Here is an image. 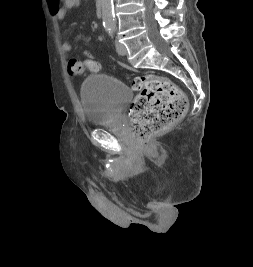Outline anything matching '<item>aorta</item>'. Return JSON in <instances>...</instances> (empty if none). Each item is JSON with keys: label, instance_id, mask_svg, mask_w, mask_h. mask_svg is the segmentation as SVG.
I'll use <instances>...</instances> for the list:
<instances>
[{"label": "aorta", "instance_id": "762f6f07", "mask_svg": "<svg viewBox=\"0 0 253 267\" xmlns=\"http://www.w3.org/2000/svg\"><path fill=\"white\" fill-rule=\"evenodd\" d=\"M101 12L105 28H115L113 0H101Z\"/></svg>", "mask_w": 253, "mask_h": 267}]
</instances>
